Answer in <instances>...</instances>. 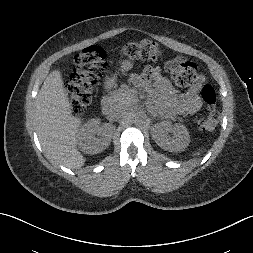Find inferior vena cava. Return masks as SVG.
<instances>
[{
    "label": "inferior vena cava",
    "mask_w": 253,
    "mask_h": 253,
    "mask_svg": "<svg viewBox=\"0 0 253 253\" xmlns=\"http://www.w3.org/2000/svg\"><path fill=\"white\" fill-rule=\"evenodd\" d=\"M128 101H127V103H128ZM126 112H127V110L125 108L124 103L113 102L110 104L109 108L107 109L106 114H107V118L109 120H117V119H121L126 114Z\"/></svg>",
    "instance_id": "inferior-vena-cava-1"
}]
</instances>
